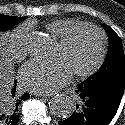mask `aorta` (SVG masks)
<instances>
[{
  "label": "aorta",
  "instance_id": "aorta-1",
  "mask_svg": "<svg viewBox=\"0 0 125 125\" xmlns=\"http://www.w3.org/2000/svg\"><path fill=\"white\" fill-rule=\"evenodd\" d=\"M54 42L45 34H36L31 43V50L34 57L48 59L52 56ZM50 111L60 118H68L75 110V103L70 96L60 94L54 96L49 102Z\"/></svg>",
  "mask_w": 125,
  "mask_h": 125
}]
</instances>
